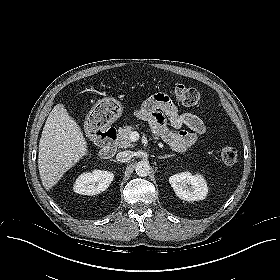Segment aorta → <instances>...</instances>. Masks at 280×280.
<instances>
[{
    "mask_svg": "<svg viewBox=\"0 0 280 280\" xmlns=\"http://www.w3.org/2000/svg\"><path fill=\"white\" fill-rule=\"evenodd\" d=\"M136 174L140 177H145L150 172V164L147 161H139L136 164Z\"/></svg>",
    "mask_w": 280,
    "mask_h": 280,
    "instance_id": "aorta-1",
    "label": "aorta"
}]
</instances>
